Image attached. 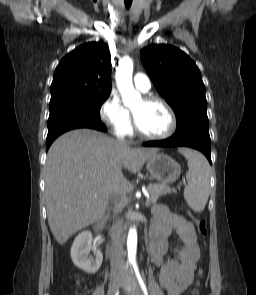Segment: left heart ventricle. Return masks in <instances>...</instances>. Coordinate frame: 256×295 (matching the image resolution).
Masks as SVG:
<instances>
[{
	"instance_id": "1",
	"label": "left heart ventricle",
	"mask_w": 256,
	"mask_h": 295,
	"mask_svg": "<svg viewBox=\"0 0 256 295\" xmlns=\"http://www.w3.org/2000/svg\"><path fill=\"white\" fill-rule=\"evenodd\" d=\"M131 111L142 131L151 135L163 134L167 131L170 119L166 109L159 103L138 101Z\"/></svg>"
}]
</instances>
